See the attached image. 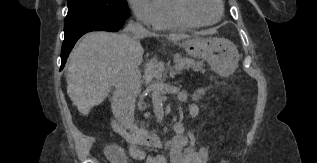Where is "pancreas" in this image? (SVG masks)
Returning <instances> with one entry per match:
<instances>
[{
  "label": "pancreas",
  "mask_w": 317,
  "mask_h": 163,
  "mask_svg": "<svg viewBox=\"0 0 317 163\" xmlns=\"http://www.w3.org/2000/svg\"><path fill=\"white\" fill-rule=\"evenodd\" d=\"M175 62L178 65L183 66L185 69L192 68L194 71H202L203 73L205 70L203 69L204 65L200 61H195L188 57H181L180 55L175 56Z\"/></svg>",
  "instance_id": "1"
}]
</instances>
